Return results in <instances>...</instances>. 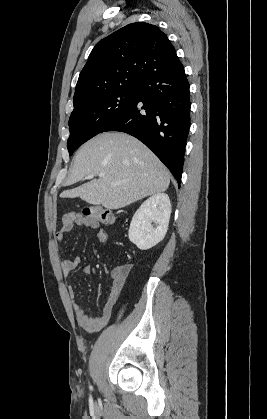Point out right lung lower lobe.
I'll return each mask as SVG.
<instances>
[{"mask_svg":"<svg viewBox=\"0 0 267 419\" xmlns=\"http://www.w3.org/2000/svg\"><path fill=\"white\" fill-rule=\"evenodd\" d=\"M190 107L189 82L178 60L145 79L126 111L103 132H125L142 141L180 185Z\"/></svg>","mask_w":267,"mask_h":419,"instance_id":"1","label":"right lung lower lobe"}]
</instances>
